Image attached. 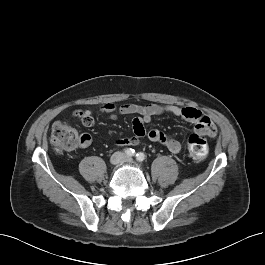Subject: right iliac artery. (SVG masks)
<instances>
[{
  "instance_id": "right-iliac-artery-1",
  "label": "right iliac artery",
  "mask_w": 265,
  "mask_h": 265,
  "mask_svg": "<svg viewBox=\"0 0 265 265\" xmlns=\"http://www.w3.org/2000/svg\"><path fill=\"white\" fill-rule=\"evenodd\" d=\"M125 154L128 155V156H135L136 155V152L134 149L132 148H127L124 150Z\"/></svg>"
}]
</instances>
